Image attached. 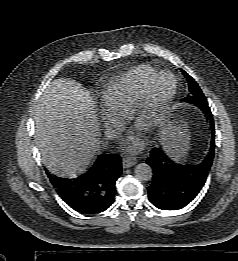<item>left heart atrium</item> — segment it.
Instances as JSON below:
<instances>
[{
	"label": "left heart atrium",
	"instance_id": "obj_1",
	"mask_svg": "<svg viewBox=\"0 0 238 261\" xmlns=\"http://www.w3.org/2000/svg\"><path fill=\"white\" fill-rule=\"evenodd\" d=\"M144 139L139 133L133 132L121 144V148L128 154H137L144 147Z\"/></svg>",
	"mask_w": 238,
	"mask_h": 261
}]
</instances>
